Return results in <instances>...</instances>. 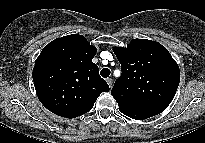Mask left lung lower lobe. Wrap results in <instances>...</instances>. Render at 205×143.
<instances>
[{"label": "left lung lower lobe", "instance_id": "obj_1", "mask_svg": "<svg viewBox=\"0 0 205 143\" xmlns=\"http://www.w3.org/2000/svg\"><path fill=\"white\" fill-rule=\"evenodd\" d=\"M120 111L123 114L127 115L128 117L136 119V120L147 119L149 117H152V116L157 115V114L162 112V111H159V110L134 111V110H123V109H120Z\"/></svg>", "mask_w": 205, "mask_h": 143}]
</instances>
